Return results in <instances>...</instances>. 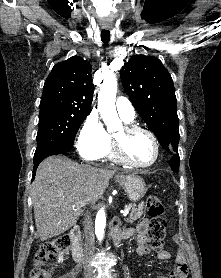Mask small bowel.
I'll return each instance as SVG.
<instances>
[{
    "mask_svg": "<svg viewBox=\"0 0 221 278\" xmlns=\"http://www.w3.org/2000/svg\"><path fill=\"white\" fill-rule=\"evenodd\" d=\"M149 221L147 219H143L139 222V224L130 230L126 231L128 237L134 236L136 241L138 242V247L136 249V253L140 256L147 255L149 253V248L147 246V229H148ZM157 258L162 261H168L170 259V254L166 250L157 251ZM176 268L174 272L167 275H161L158 278H186L187 275V263L185 255L182 252H178L175 258ZM80 272L79 269L74 268L68 274L60 277V278H75V276Z\"/></svg>",
    "mask_w": 221,
    "mask_h": 278,
    "instance_id": "obj_1",
    "label": "small bowel"
}]
</instances>
